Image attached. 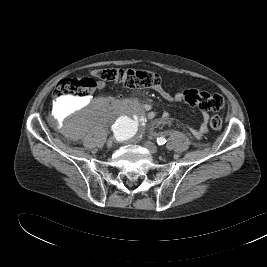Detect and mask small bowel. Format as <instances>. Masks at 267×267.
Listing matches in <instances>:
<instances>
[{
	"label": "small bowel",
	"instance_id": "small-bowel-1",
	"mask_svg": "<svg viewBox=\"0 0 267 267\" xmlns=\"http://www.w3.org/2000/svg\"><path fill=\"white\" fill-rule=\"evenodd\" d=\"M97 87L99 90H102V89H104L105 84L103 82H99ZM154 89L167 102L180 103L183 100V96H182L181 92H177V93L172 94V93L166 91L162 86H158ZM147 110H150V108H148ZM199 114L201 117V124H200L199 128L195 130V134L200 137L208 131L209 115L205 111H200ZM155 115H156V113L154 111H151L149 117L153 118V117H155ZM165 118L166 117L163 116L160 120L155 121V123H160L161 121H164Z\"/></svg>",
	"mask_w": 267,
	"mask_h": 267
}]
</instances>
